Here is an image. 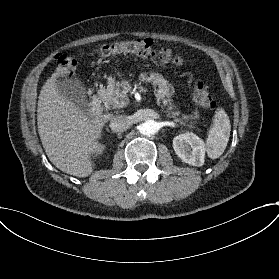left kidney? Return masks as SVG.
<instances>
[{"mask_svg": "<svg viewBox=\"0 0 279 279\" xmlns=\"http://www.w3.org/2000/svg\"><path fill=\"white\" fill-rule=\"evenodd\" d=\"M173 148L183 162L200 167L204 164V142L193 133L178 135L173 140Z\"/></svg>", "mask_w": 279, "mask_h": 279, "instance_id": "1", "label": "left kidney"}]
</instances>
